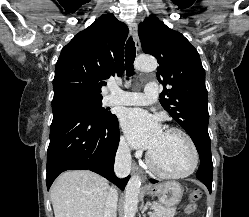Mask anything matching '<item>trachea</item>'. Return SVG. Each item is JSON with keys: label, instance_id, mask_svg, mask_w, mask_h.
Masks as SVG:
<instances>
[{"label": "trachea", "instance_id": "obj_1", "mask_svg": "<svg viewBox=\"0 0 249 217\" xmlns=\"http://www.w3.org/2000/svg\"><path fill=\"white\" fill-rule=\"evenodd\" d=\"M135 57H136L135 43L132 37H130L127 40L126 47H125V66H126V73L128 77L133 76L135 74L134 68H133Z\"/></svg>", "mask_w": 249, "mask_h": 217}]
</instances>
